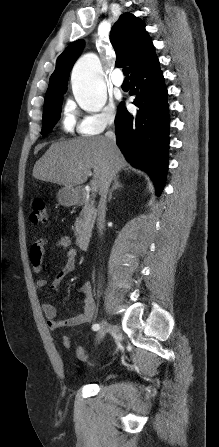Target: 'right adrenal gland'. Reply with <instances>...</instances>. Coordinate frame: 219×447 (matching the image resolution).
I'll use <instances>...</instances> for the list:
<instances>
[{
  "mask_svg": "<svg viewBox=\"0 0 219 447\" xmlns=\"http://www.w3.org/2000/svg\"><path fill=\"white\" fill-rule=\"evenodd\" d=\"M118 178H119V176L114 178L113 186H112V188L110 189V192H109L108 201H110L112 199L113 191L116 190L117 188L122 187V184L119 182Z\"/></svg>",
  "mask_w": 219,
  "mask_h": 447,
  "instance_id": "right-adrenal-gland-1",
  "label": "right adrenal gland"
}]
</instances>
